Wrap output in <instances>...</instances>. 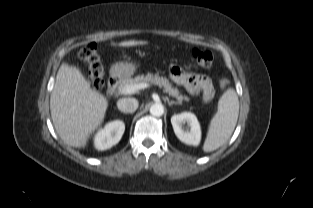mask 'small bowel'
I'll return each instance as SVG.
<instances>
[{"label": "small bowel", "mask_w": 313, "mask_h": 208, "mask_svg": "<svg viewBox=\"0 0 313 208\" xmlns=\"http://www.w3.org/2000/svg\"><path fill=\"white\" fill-rule=\"evenodd\" d=\"M170 76L175 83L183 86L190 94L201 93L205 101L214 96V87L209 77L201 74L188 72L178 65L170 67Z\"/></svg>", "instance_id": "1"}]
</instances>
